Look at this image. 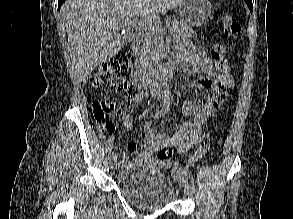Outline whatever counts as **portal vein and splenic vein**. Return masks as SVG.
Returning <instances> with one entry per match:
<instances>
[{
    "mask_svg": "<svg viewBox=\"0 0 293 219\" xmlns=\"http://www.w3.org/2000/svg\"><path fill=\"white\" fill-rule=\"evenodd\" d=\"M154 27H155L156 29H158V27H157V26H155V25H150V26H149V28H154ZM143 29H144V30H147L148 28H147V27H145V26H143Z\"/></svg>",
    "mask_w": 293,
    "mask_h": 219,
    "instance_id": "portal-vein-and-splenic-vein-1",
    "label": "portal vein and splenic vein"
}]
</instances>
